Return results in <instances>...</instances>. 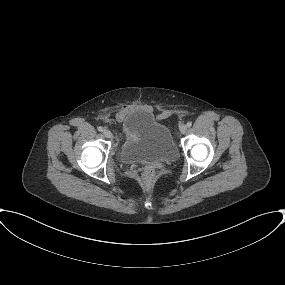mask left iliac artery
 <instances>
[{
  "mask_svg": "<svg viewBox=\"0 0 285 285\" xmlns=\"http://www.w3.org/2000/svg\"><path fill=\"white\" fill-rule=\"evenodd\" d=\"M187 126H188V127H191V126H192V122H188V123H187Z\"/></svg>",
  "mask_w": 285,
  "mask_h": 285,
  "instance_id": "left-iliac-artery-1",
  "label": "left iliac artery"
}]
</instances>
